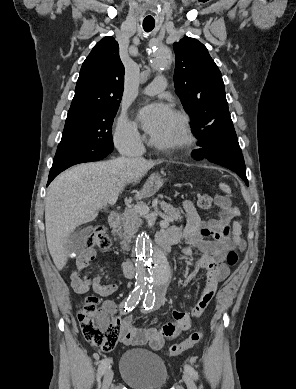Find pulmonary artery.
Instances as JSON below:
<instances>
[{
    "instance_id": "obj_1",
    "label": "pulmonary artery",
    "mask_w": 296,
    "mask_h": 389,
    "mask_svg": "<svg viewBox=\"0 0 296 389\" xmlns=\"http://www.w3.org/2000/svg\"><path fill=\"white\" fill-rule=\"evenodd\" d=\"M166 87V79L163 76H157L149 85H147L143 93L146 95H156L162 92Z\"/></svg>"
}]
</instances>
